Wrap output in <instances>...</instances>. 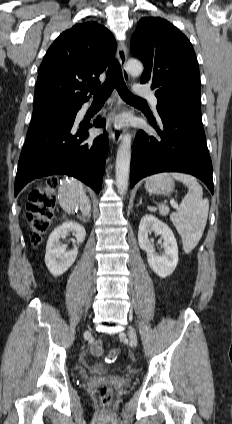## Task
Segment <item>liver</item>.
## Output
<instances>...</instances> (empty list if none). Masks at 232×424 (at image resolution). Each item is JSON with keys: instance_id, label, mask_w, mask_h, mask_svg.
<instances>
[{"instance_id": "liver-1", "label": "liver", "mask_w": 232, "mask_h": 424, "mask_svg": "<svg viewBox=\"0 0 232 424\" xmlns=\"http://www.w3.org/2000/svg\"><path fill=\"white\" fill-rule=\"evenodd\" d=\"M82 195H86L83 184L74 178L63 181L58 188L59 204L69 214L78 209Z\"/></svg>"}]
</instances>
